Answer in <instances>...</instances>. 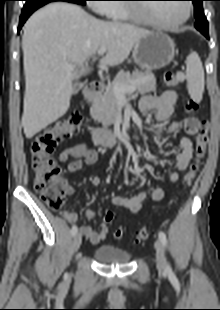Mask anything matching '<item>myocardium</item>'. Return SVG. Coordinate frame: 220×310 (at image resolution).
I'll use <instances>...</instances> for the list:
<instances>
[{
    "mask_svg": "<svg viewBox=\"0 0 220 310\" xmlns=\"http://www.w3.org/2000/svg\"><path fill=\"white\" fill-rule=\"evenodd\" d=\"M185 7H186L185 15L181 19H179L175 22H172V23L160 21V20L156 19L155 17L151 16L150 14H148V16H146V17H143L142 16L143 13L146 14V12L143 11L141 8H138V7L133 6V5L129 6L128 9H129L133 19H135L136 21L145 23V24L150 25V26L155 27V28L169 30V29L177 28V27L183 25L184 23H186L188 21V19L191 16L192 7L189 4V2L185 3Z\"/></svg>",
    "mask_w": 220,
    "mask_h": 310,
    "instance_id": "myocardium-1",
    "label": "myocardium"
}]
</instances>
